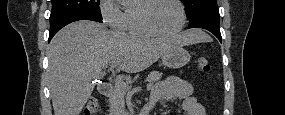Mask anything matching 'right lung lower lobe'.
Wrapping results in <instances>:
<instances>
[{
	"label": "right lung lower lobe",
	"mask_w": 285,
	"mask_h": 115,
	"mask_svg": "<svg viewBox=\"0 0 285 115\" xmlns=\"http://www.w3.org/2000/svg\"><path fill=\"white\" fill-rule=\"evenodd\" d=\"M92 20V21H97L102 23V21H98L89 17H85V16H70V17H66L63 19H60L52 24H50V32H49V41L52 39V37L64 26H66L69 23H72L74 21H78V20Z\"/></svg>",
	"instance_id": "obj_1"
}]
</instances>
